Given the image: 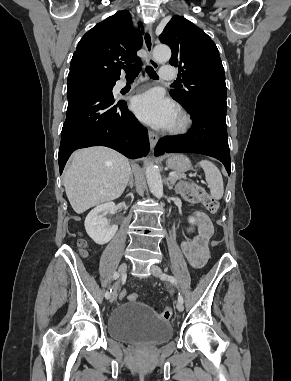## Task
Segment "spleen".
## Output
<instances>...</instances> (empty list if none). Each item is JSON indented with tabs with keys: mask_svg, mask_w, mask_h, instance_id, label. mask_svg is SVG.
Segmentation results:
<instances>
[{
	"mask_svg": "<svg viewBox=\"0 0 291 381\" xmlns=\"http://www.w3.org/2000/svg\"><path fill=\"white\" fill-rule=\"evenodd\" d=\"M199 164L205 172V179L210 189L211 196L216 200H220L224 194V186L219 169L208 160H202Z\"/></svg>",
	"mask_w": 291,
	"mask_h": 381,
	"instance_id": "spleen-1",
	"label": "spleen"
}]
</instances>
